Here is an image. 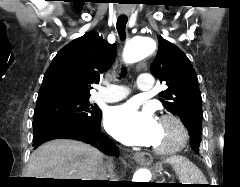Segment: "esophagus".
I'll return each instance as SVG.
<instances>
[{
	"instance_id": "1",
	"label": "esophagus",
	"mask_w": 240,
	"mask_h": 187,
	"mask_svg": "<svg viewBox=\"0 0 240 187\" xmlns=\"http://www.w3.org/2000/svg\"><path fill=\"white\" fill-rule=\"evenodd\" d=\"M133 159L140 164H150L153 161V157L149 153L136 152L133 154Z\"/></svg>"
}]
</instances>
